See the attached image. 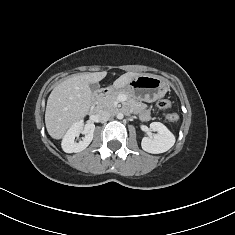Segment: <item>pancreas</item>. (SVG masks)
Segmentation results:
<instances>
[{
	"instance_id": "cf45deb5",
	"label": "pancreas",
	"mask_w": 235,
	"mask_h": 235,
	"mask_svg": "<svg viewBox=\"0 0 235 235\" xmlns=\"http://www.w3.org/2000/svg\"><path fill=\"white\" fill-rule=\"evenodd\" d=\"M121 95L126 97L127 103L131 105V107L136 108V109L143 107V104L132 99L130 95L124 91H111L104 96H99L98 104L99 106L103 108H107L109 110H115L119 103L118 98Z\"/></svg>"
}]
</instances>
